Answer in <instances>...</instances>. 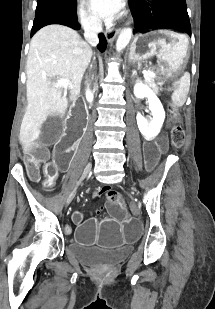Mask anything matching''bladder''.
I'll list each match as a JSON object with an SVG mask.
<instances>
[{
  "label": "bladder",
  "mask_w": 215,
  "mask_h": 309,
  "mask_svg": "<svg viewBox=\"0 0 215 309\" xmlns=\"http://www.w3.org/2000/svg\"><path fill=\"white\" fill-rule=\"evenodd\" d=\"M69 248L81 264L91 267H113L121 263L129 253L127 248L113 250L78 248L74 246Z\"/></svg>",
  "instance_id": "bladder-1"
}]
</instances>
